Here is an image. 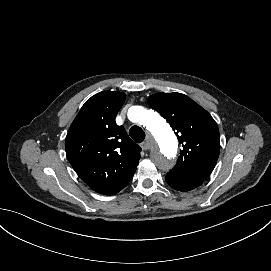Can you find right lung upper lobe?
<instances>
[{
	"label": "right lung upper lobe",
	"instance_id": "obj_1",
	"mask_svg": "<svg viewBox=\"0 0 271 271\" xmlns=\"http://www.w3.org/2000/svg\"><path fill=\"white\" fill-rule=\"evenodd\" d=\"M125 101L122 92L103 91L82 106L65 139L67 157L94 191L113 195L132 179L141 148L118 126L115 117Z\"/></svg>",
	"mask_w": 271,
	"mask_h": 271
}]
</instances>
